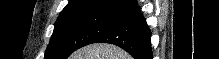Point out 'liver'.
Instances as JSON below:
<instances>
[{
  "instance_id": "6515ba94",
  "label": "liver",
  "mask_w": 219,
  "mask_h": 59,
  "mask_svg": "<svg viewBox=\"0 0 219 59\" xmlns=\"http://www.w3.org/2000/svg\"><path fill=\"white\" fill-rule=\"evenodd\" d=\"M69 59H132L121 48L111 44H92L75 51Z\"/></svg>"
}]
</instances>
